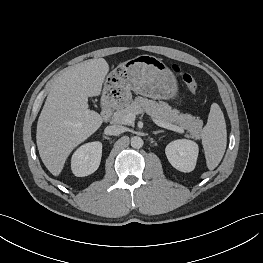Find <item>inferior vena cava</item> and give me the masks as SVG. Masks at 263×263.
I'll use <instances>...</instances> for the list:
<instances>
[{"instance_id": "obj_1", "label": "inferior vena cava", "mask_w": 263, "mask_h": 263, "mask_svg": "<svg viewBox=\"0 0 263 263\" xmlns=\"http://www.w3.org/2000/svg\"><path fill=\"white\" fill-rule=\"evenodd\" d=\"M104 132L107 135H119V134L125 132V128L123 126H119V125H111V126H107L105 128Z\"/></svg>"}]
</instances>
